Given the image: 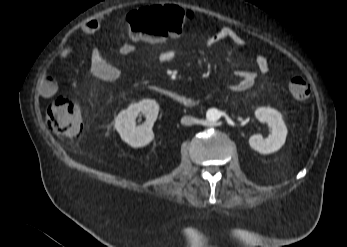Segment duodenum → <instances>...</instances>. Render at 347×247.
Wrapping results in <instances>:
<instances>
[{
    "instance_id": "duodenum-1",
    "label": "duodenum",
    "mask_w": 347,
    "mask_h": 247,
    "mask_svg": "<svg viewBox=\"0 0 347 247\" xmlns=\"http://www.w3.org/2000/svg\"><path fill=\"white\" fill-rule=\"evenodd\" d=\"M172 101L183 107H194L196 101L194 98L173 91H168L166 94Z\"/></svg>"
}]
</instances>
